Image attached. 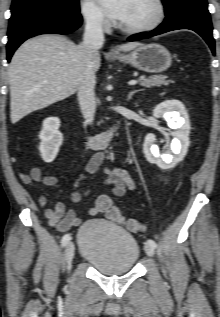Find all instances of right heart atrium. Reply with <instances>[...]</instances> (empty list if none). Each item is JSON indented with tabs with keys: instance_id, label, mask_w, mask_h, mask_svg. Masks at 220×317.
Returning a JSON list of instances; mask_svg holds the SVG:
<instances>
[{
	"instance_id": "d8ad5b80",
	"label": "right heart atrium",
	"mask_w": 220,
	"mask_h": 317,
	"mask_svg": "<svg viewBox=\"0 0 220 317\" xmlns=\"http://www.w3.org/2000/svg\"><path fill=\"white\" fill-rule=\"evenodd\" d=\"M80 10L87 26L100 30L109 27L108 19L93 0H81Z\"/></svg>"
}]
</instances>
